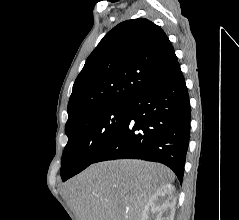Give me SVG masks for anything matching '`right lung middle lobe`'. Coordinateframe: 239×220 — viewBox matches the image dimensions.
Instances as JSON below:
<instances>
[{"instance_id": "1", "label": "right lung middle lobe", "mask_w": 239, "mask_h": 220, "mask_svg": "<svg viewBox=\"0 0 239 220\" xmlns=\"http://www.w3.org/2000/svg\"><path fill=\"white\" fill-rule=\"evenodd\" d=\"M127 116V103L90 112L65 127L68 143L62 155L63 181L84 170L115 135Z\"/></svg>"}]
</instances>
